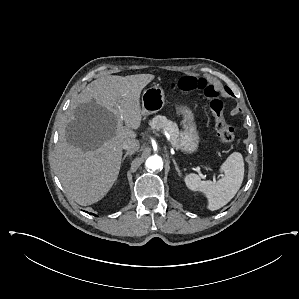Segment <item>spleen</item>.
<instances>
[{"label":"spleen","instance_id":"spleen-1","mask_svg":"<svg viewBox=\"0 0 299 299\" xmlns=\"http://www.w3.org/2000/svg\"><path fill=\"white\" fill-rule=\"evenodd\" d=\"M225 175L217 182L202 181L194 173L184 177L186 186L191 191L202 192L208 199L207 208L218 210L226 205L238 192L244 178V162L241 153L233 152L221 165Z\"/></svg>","mask_w":299,"mask_h":299}]
</instances>
